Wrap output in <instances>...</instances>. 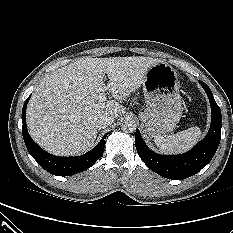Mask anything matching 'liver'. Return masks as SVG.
<instances>
[{"label": "liver", "mask_w": 233, "mask_h": 233, "mask_svg": "<svg viewBox=\"0 0 233 233\" xmlns=\"http://www.w3.org/2000/svg\"><path fill=\"white\" fill-rule=\"evenodd\" d=\"M161 62L151 57L81 58L45 76L27 107L29 133L49 153L68 156L87 151L98 129L94 117L125 113L124 100L143 84L148 69ZM107 74L109 82L105 83ZM109 91L117 100L100 101Z\"/></svg>", "instance_id": "obj_1"}]
</instances>
